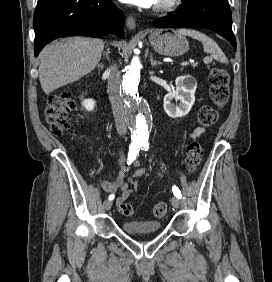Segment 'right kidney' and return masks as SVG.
I'll use <instances>...</instances> for the list:
<instances>
[{
	"mask_svg": "<svg viewBox=\"0 0 272 282\" xmlns=\"http://www.w3.org/2000/svg\"><path fill=\"white\" fill-rule=\"evenodd\" d=\"M96 102L93 99H86L82 105L87 111H92L95 107Z\"/></svg>",
	"mask_w": 272,
	"mask_h": 282,
	"instance_id": "1",
	"label": "right kidney"
}]
</instances>
